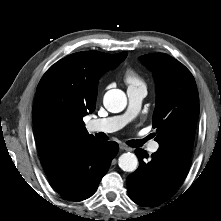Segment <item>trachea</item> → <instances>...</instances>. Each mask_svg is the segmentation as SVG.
I'll use <instances>...</instances> for the list:
<instances>
[{
	"mask_svg": "<svg viewBox=\"0 0 221 221\" xmlns=\"http://www.w3.org/2000/svg\"><path fill=\"white\" fill-rule=\"evenodd\" d=\"M148 139H150V136L142 140H129L126 143L131 147H141Z\"/></svg>",
	"mask_w": 221,
	"mask_h": 221,
	"instance_id": "obj_1",
	"label": "trachea"
}]
</instances>
